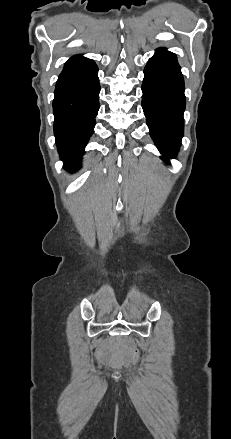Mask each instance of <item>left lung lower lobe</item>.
Instances as JSON below:
<instances>
[{"label": "left lung lower lobe", "instance_id": "1", "mask_svg": "<svg viewBox=\"0 0 231 439\" xmlns=\"http://www.w3.org/2000/svg\"><path fill=\"white\" fill-rule=\"evenodd\" d=\"M184 89L176 55L165 48L157 49L144 69L142 107L150 136L169 158L176 157L183 137Z\"/></svg>", "mask_w": 231, "mask_h": 439}]
</instances>
